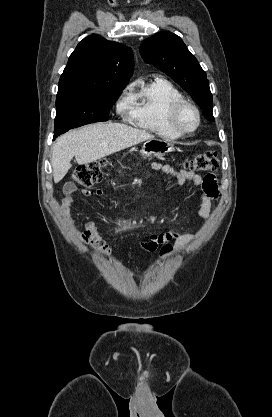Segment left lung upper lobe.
<instances>
[{
    "label": "left lung upper lobe",
    "mask_w": 272,
    "mask_h": 417,
    "mask_svg": "<svg viewBox=\"0 0 272 417\" xmlns=\"http://www.w3.org/2000/svg\"><path fill=\"white\" fill-rule=\"evenodd\" d=\"M140 54L146 63L153 64L184 88L201 107L205 118L214 121L206 73L179 36L169 31L159 32L143 41Z\"/></svg>",
    "instance_id": "1"
}]
</instances>
